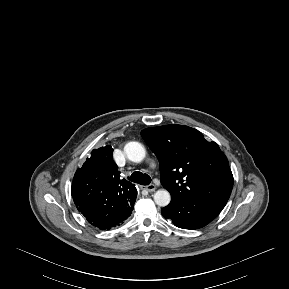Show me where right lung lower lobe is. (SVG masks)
<instances>
[{"label": "right lung lower lobe", "instance_id": "obj_1", "mask_svg": "<svg viewBox=\"0 0 289 289\" xmlns=\"http://www.w3.org/2000/svg\"><path fill=\"white\" fill-rule=\"evenodd\" d=\"M134 203L129 205H121L115 210L109 213H103L100 215H93V214H83L87 221L101 229L106 230L110 229L111 227L119 225L122 221L126 220L132 213Z\"/></svg>", "mask_w": 289, "mask_h": 289}]
</instances>
